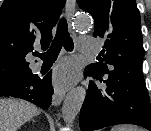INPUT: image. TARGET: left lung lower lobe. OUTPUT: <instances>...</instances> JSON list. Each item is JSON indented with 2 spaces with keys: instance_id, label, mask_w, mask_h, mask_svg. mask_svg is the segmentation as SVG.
Returning <instances> with one entry per match:
<instances>
[{
  "instance_id": "obj_1",
  "label": "left lung lower lobe",
  "mask_w": 151,
  "mask_h": 131,
  "mask_svg": "<svg viewBox=\"0 0 151 131\" xmlns=\"http://www.w3.org/2000/svg\"><path fill=\"white\" fill-rule=\"evenodd\" d=\"M85 76L96 79L97 84L89 83L80 110L81 131L117 124H135L151 131V104L141 68L104 76L86 67Z\"/></svg>"
}]
</instances>
